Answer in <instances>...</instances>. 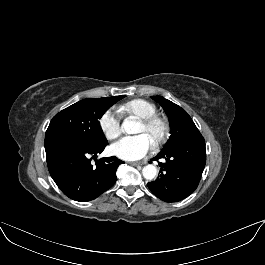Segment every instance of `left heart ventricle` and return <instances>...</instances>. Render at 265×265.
Listing matches in <instances>:
<instances>
[{
  "label": "left heart ventricle",
  "instance_id": "b2bd125f",
  "mask_svg": "<svg viewBox=\"0 0 265 265\" xmlns=\"http://www.w3.org/2000/svg\"><path fill=\"white\" fill-rule=\"evenodd\" d=\"M158 131H159V127L158 126L148 128V127H145L140 122L139 125H138V128L136 130V133L145 134L151 140V142L153 143V141L155 140V138H156V136L158 134Z\"/></svg>",
  "mask_w": 265,
  "mask_h": 265
}]
</instances>
